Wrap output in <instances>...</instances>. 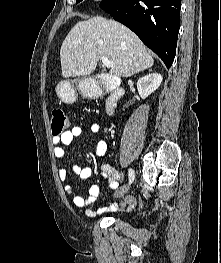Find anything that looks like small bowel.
<instances>
[{"instance_id":"c3829d8e","label":"small bowel","mask_w":221,"mask_h":263,"mask_svg":"<svg viewBox=\"0 0 221 263\" xmlns=\"http://www.w3.org/2000/svg\"><path fill=\"white\" fill-rule=\"evenodd\" d=\"M102 130V125L99 123H94L90 126V131L92 134H99ZM82 134V128L79 126H75L70 130L64 132L59 137L53 138V144L55 145L53 148V154L55 158L61 159L65 156L64 146L70 145L73 140L79 137ZM107 151V143L104 140H99L95 144L94 153L97 157H102L105 155ZM72 171L75 175H77L81 179H86L90 177L92 170L88 166L74 165L72 167ZM102 177L108 179L109 185L112 189H117L118 181L121 178V174L119 171L113 169L109 165H103L102 167ZM58 176L61 181L65 182L68 179V171L65 168H60L58 171ZM64 190L67 194L72 195L75 193L74 185L70 183H66L64 185ZM100 186L97 184H92L89 187L87 196L83 197L80 195H75L73 198V202L75 206L79 208H85L91 204H93L98 197L100 196ZM125 201L130 205V207H134V198L130 195L126 196ZM120 207L118 203H113L109 208H104L99 211V213H103L105 211H115Z\"/></svg>"}]
</instances>
